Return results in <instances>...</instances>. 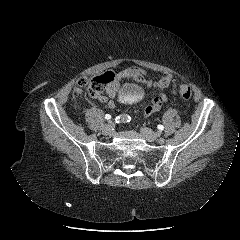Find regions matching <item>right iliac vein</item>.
Returning <instances> with one entry per match:
<instances>
[{"label": "right iliac vein", "mask_w": 240, "mask_h": 240, "mask_svg": "<svg viewBox=\"0 0 240 240\" xmlns=\"http://www.w3.org/2000/svg\"><path fill=\"white\" fill-rule=\"evenodd\" d=\"M112 130H113V124L112 123H108L106 124L103 129H102V133L104 135H109L112 133Z\"/></svg>", "instance_id": "1"}]
</instances>
